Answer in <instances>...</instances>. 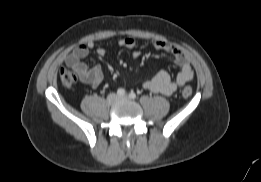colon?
<instances>
[{
  "label": "colon",
  "instance_id": "1",
  "mask_svg": "<svg viewBox=\"0 0 261 182\" xmlns=\"http://www.w3.org/2000/svg\"><path fill=\"white\" fill-rule=\"evenodd\" d=\"M60 80L64 87L72 88L78 81V77L75 72L69 69H62L60 71ZM184 97H189L192 94V88L190 86H185L182 90Z\"/></svg>",
  "mask_w": 261,
  "mask_h": 182
}]
</instances>
